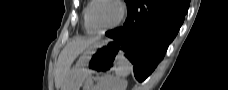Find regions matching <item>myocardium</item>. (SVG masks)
<instances>
[{"label":"myocardium","mask_w":228,"mask_h":90,"mask_svg":"<svg viewBox=\"0 0 228 90\" xmlns=\"http://www.w3.org/2000/svg\"><path fill=\"white\" fill-rule=\"evenodd\" d=\"M98 1H101V0H93V1H91L90 7H89L88 12H87V22H88V26L90 27V29L94 33H99L100 34V33H105V32H107V31H109L111 29H114L115 27L120 25L121 22L125 18L126 10H125V7H124L123 3L120 0H106V1H110V2L114 3L118 7L119 14H118L117 19L111 25H109V26H107V27H105L103 29H97V28L94 27V25L92 23L91 13H92V9H93L94 5Z\"/></svg>","instance_id":"1"}]
</instances>
